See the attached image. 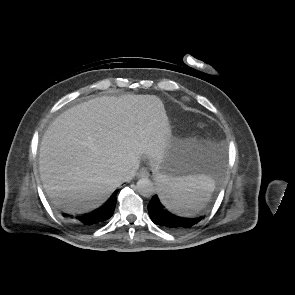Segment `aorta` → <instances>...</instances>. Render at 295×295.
I'll use <instances>...</instances> for the list:
<instances>
[{"label":"aorta","mask_w":295,"mask_h":295,"mask_svg":"<svg viewBox=\"0 0 295 295\" xmlns=\"http://www.w3.org/2000/svg\"><path fill=\"white\" fill-rule=\"evenodd\" d=\"M137 191L144 197H150L155 192V186L148 178H141L136 184Z\"/></svg>","instance_id":"aorta-1"}]
</instances>
